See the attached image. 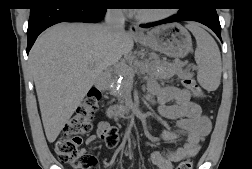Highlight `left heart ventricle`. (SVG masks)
<instances>
[{
    "instance_id": "1",
    "label": "left heart ventricle",
    "mask_w": 252,
    "mask_h": 169,
    "mask_svg": "<svg viewBox=\"0 0 252 169\" xmlns=\"http://www.w3.org/2000/svg\"><path fill=\"white\" fill-rule=\"evenodd\" d=\"M138 12L141 14H150L154 11L152 9H143V10H138Z\"/></svg>"
}]
</instances>
